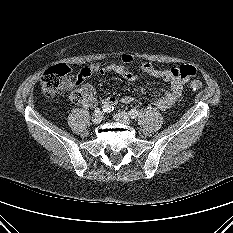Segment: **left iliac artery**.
Returning <instances> with one entry per match:
<instances>
[{
    "label": "left iliac artery",
    "mask_w": 233,
    "mask_h": 233,
    "mask_svg": "<svg viewBox=\"0 0 233 233\" xmlns=\"http://www.w3.org/2000/svg\"><path fill=\"white\" fill-rule=\"evenodd\" d=\"M139 115V111L136 110V109H132L129 111V116L132 118V119H136Z\"/></svg>",
    "instance_id": "44dca946"
}]
</instances>
